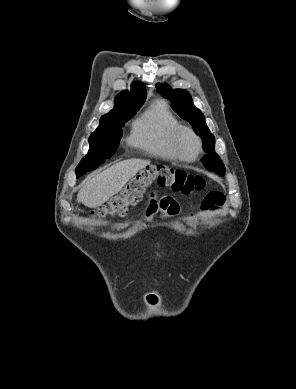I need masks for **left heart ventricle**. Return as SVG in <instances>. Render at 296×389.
Segmentation results:
<instances>
[{
  "label": "left heart ventricle",
  "instance_id": "left-heart-ventricle-1",
  "mask_svg": "<svg viewBox=\"0 0 296 389\" xmlns=\"http://www.w3.org/2000/svg\"><path fill=\"white\" fill-rule=\"evenodd\" d=\"M182 150L187 157H192L195 154L196 147L193 140L189 137H185L182 141Z\"/></svg>",
  "mask_w": 296,
  "mask_h": 389
}]
</instances>
